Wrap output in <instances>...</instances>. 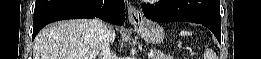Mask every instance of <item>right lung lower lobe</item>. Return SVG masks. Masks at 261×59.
Here are the masks:
<instances>
[{"instance_id": "obj_1", "label": "right lung lower lobe", "mask_w": 261, "mask_h": 59, "mask_svg": "<svg viewBox=\"0 0 261 59\" xmlns=\"http://www.w3.org/2000/svg\"><path fill=\"white\" fill-rule=\"evenodd\" d=\"M124 7V0H36L32 40L47 24L64 19L98 17L123 25Z\"/></svg>"}]
</instances>
